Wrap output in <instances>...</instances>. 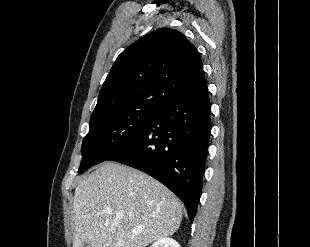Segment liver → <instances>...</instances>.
Instances as JSON below:
<instances>
[{
    "instance_id": "1",
    "label": "liver",
    "mask_w": 310,
    "mask_h": 247,
    "mask_svg": "<svg viewBox=\"0 0 310 247\" xmlns=\"http://www.w3.org/2000/svg\"><path fill=\"white\" fill-rule=\"evenodd\" d=\"M183 204L151 176L104 162L81 180L73 202V247H146L173 235ZM111 210L110 213L107 211ZM138 230V234H133Z\"/></svg>"
}]
</instances>
